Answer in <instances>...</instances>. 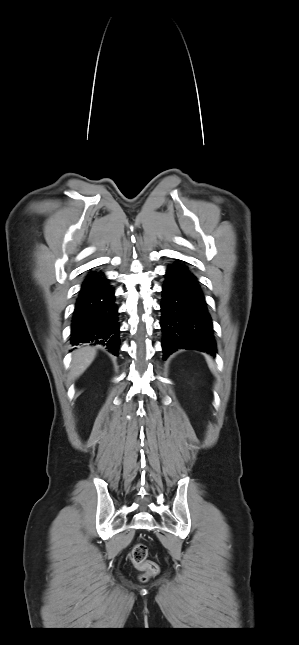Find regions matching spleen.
Wrapping results in <instances>:
<instances>
[{"label":"spleen","mask_w":299,"mask_h":645,"mask_svg":"<svg viewBox=\"0 0 299 645\" xmlns=\"http://www.w3.org/2000/svg\"><path fill=\"white\" fill-rule=\"evenodd\" d=\"M207 362H208V365H209L210 369L213 370V364H212L210 358H207Z\"/></svg>","instance_id":"spleen-1"}]
</instances>
